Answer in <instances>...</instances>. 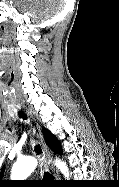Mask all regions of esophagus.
<instances>
[{
    "label": "esophagus",
    "instance_id": "1",
    "mask_svg": "<svg viewBox=\"0 0 119 187\" xmlns=\"http://www.w3.org/2000/svg\"><path fill=\"white\" fill-rule=\"evenodd\" d=\"M28 114H30V113L28 112ZM40 138H41V143H42L43 151H44V153L46 155L45 165H48V162H49L50 157H51V152H50L48 146L46 145V143H45L43 137L41 136V134H40ZM51 169L53 171V174H54L55 178L56 179L59 178L58 171L55 170L53 167H51Z\"/></svg>",
    "mask_w": 119,
    "mask_h": 187
}]
</instances>
